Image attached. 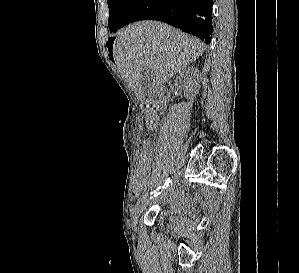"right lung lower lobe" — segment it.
Returning a JSON list of instances; mask_svg holds the SVG:
<instances>
[{"mask_svg":"<svg viewBox=\"0 0 299 273\" xmlns=\"http://www.w3.org/2000/svg\"><path fill=\"white\" fill-rule=\"evenodd\" d=\"M213 0H134L120 28L138 20H159L211 42Z\"/></svg>","mask_w":299,"mask_h":273,"instance_id":"obj_1","label":"right lung lower lobe"}]
</instances>
